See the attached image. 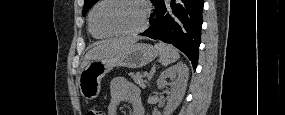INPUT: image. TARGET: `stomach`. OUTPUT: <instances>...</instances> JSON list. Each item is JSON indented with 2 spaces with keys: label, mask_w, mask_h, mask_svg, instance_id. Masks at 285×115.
I'll return each mask as SVG.
<instances>
[{
  "label": "stomach",
  "mask_w": 285,
  "mask_h": 115,
  "mask_svg": "<svg viewBox=\"0 0 285 115\" xmlns=\"http://www.w3.org/2000/svg\"><path fill=\"white\" fill-rule=\"evenodd\" d=\"M158 56L155 47L145 43H133L129 48L115 56L90 61L79 73L80 93L86 100L98 97L101 80L115 67L141 68Z\"/></svg>",
  "instance_id": "0dacf381"
}]
</instances>
